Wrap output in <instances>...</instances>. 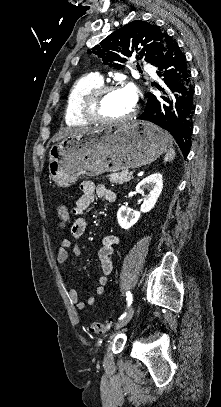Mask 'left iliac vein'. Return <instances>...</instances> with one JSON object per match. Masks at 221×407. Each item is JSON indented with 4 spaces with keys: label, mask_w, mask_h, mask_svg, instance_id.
Masks as SVG:
<instances>
[{
    "label": "left iliac vein",
    "mask_w": 221,
    "mask_h": 407,
    "mask_svg": "<svg viewBox=\"0 0 221 407\" xmlns=\"http://www.w3.org/2000/svg\"><path fill=\"white\" fill-rule=\"evenodd\" d=\"M133 315H134V307H131L128 310L126 316L119 323L116 324L115 329L119 330V329L123 328L125 325H127L129 323V321L132 319Z\"/></svg>",
    "instance_id": "4c4485c4"
}]
</instances>
